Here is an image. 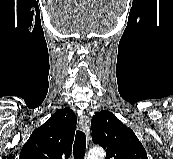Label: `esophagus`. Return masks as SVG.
Instances as JSON below:
<instances>
[{
    "instance_id": "esophagus-1",
    "label": "esophagus",
    "mask_w": 173,
    "mask_h": 159,
    "mask_svg": "<svg viewBox=\"0 0 173 159\" xmlns=\"http://www.w3.org/2000/svg\"><path fill=\"white\" fill-rule=\"evenodd\" d=\"M80 127L85 133L87 140L90 138V122L87 115H82L80 118Z\"/></svg>"
}]
</instances>
